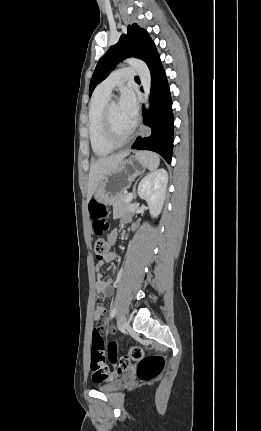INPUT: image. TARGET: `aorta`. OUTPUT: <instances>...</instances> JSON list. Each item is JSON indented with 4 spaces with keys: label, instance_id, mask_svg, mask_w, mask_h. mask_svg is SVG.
I'll use <instances>...</instances> for the list:
<instances>
[{
    "label": "aorta",
    "instance_id": "obj_1",
    "mask_svg": "<svg viewBox=\"0 0 261 431\" xmlns=\"http://www.w3.org/2000/svg\"><path fill=\"white\" fill-rule=\"evenodd\" d=\"M126 63L129 64L131 67H133L141 80V84L144 91V97H145V107L146 109L149 108V96L151 91V75L150 70L147 66V64L136 58H128L126 59Z\"/></svg>",
    "mask_w": 261,
    "mask_h": 431
}]
</instances>
